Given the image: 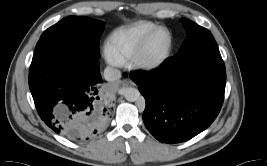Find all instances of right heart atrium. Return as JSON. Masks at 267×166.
<instances>
[{
    "label": "right heart atrium",
    "instance_id": "1",
    "mask_svg": "<svg viewBox=\"0 0 267 166\" xmlns=\"http://www.w3.org/2000/svg\"><path fill=\"white\" fill-rule=\"evenodd\" d=\"M106 60L111 64H118L121 62L117 54L111 49L110 46H106L104 50Z\"/></svg>",
    "mask_w": 267,
    "mask_h": 166
}]
</instances>
